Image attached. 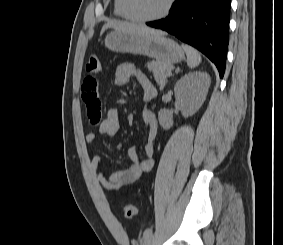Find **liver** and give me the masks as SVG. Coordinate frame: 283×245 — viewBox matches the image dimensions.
Here are the masks:
<instances>
[{
    "mask_svg": "<svg viewBox=\"0 0 283 245\" xmlns=\"http://www.w3.org/2000/svg\"><path fill=\"white\" fill-rule=\"evenodd\" d=\"M113 28L115 31L122 32H130V33H146L153 35H161V32L156 31L154 29H150L143 25H137L128 22H120V21H109L105 24L101 29V35L105 32L106 29Z\"/></svg>",
    "mask_w": 283,
    "mask_h": 245,
    "instance_id": "obj_1",
    "label": "liver"
}]
</instances>
